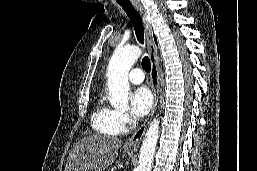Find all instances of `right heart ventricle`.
Listing matches in <instances>:
<instances>
[{"mask_svg": "<svg viewBox=\"0 0 257 171\" xmlns=\"http://www.w3.org/2000/svg\"><path fill=\"white\" fill-rule=\"evenodd\" d=\"M91 126L96 133L102 135L116 136L123 131L118 121L117 111L106 103L103 96L98 98L94 106Z\"/></svg>", "mask_w": 257, "mask_h": 171, "instance_id": "obj_1", "label": "right heart ventricle"}]
</instances>
